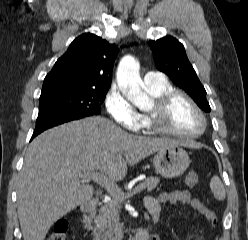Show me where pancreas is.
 I'll return each mask as SVG.
<instances>
[{
  "mask_svg": "<svg viewBox=\"0 0 248 240\" xmlns=\"http://www.w3.org/2000/svg\"><path fill=\"white\" fill-rule=\"evenodd\" d=\"M160 179L157 177H148L142 185L148 192L156 188ZM113 199L100 206L98 214H92L89 221L95 224L92 230L94 240H115L122 236V225L119 221L120 203L124 201L125 196L122 194L112 196Z\"/></svg>",
  "mask_w": 248,
  "mask_h": 240,
  "instance_id": "pancreas-1",
  "label": "pancreas"
}]
</instances>
